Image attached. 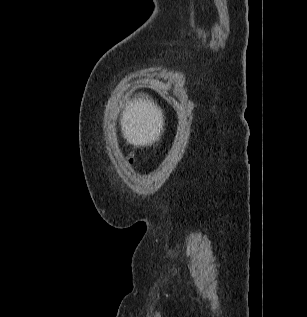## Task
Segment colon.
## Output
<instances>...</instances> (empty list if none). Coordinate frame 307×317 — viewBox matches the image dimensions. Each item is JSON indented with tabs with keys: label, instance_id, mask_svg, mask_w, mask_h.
I'll use <instances>...</instances> for the list:
<instances>
[{
	"label": "colon",
	"instance_id": "colon-1",
	"mask_svg": "<svg viewBox=\"0 0 307 317\" xmlns=\"http://www.w3.org/2000/svg\"><path fill=\"white\" fill-rule=\"evenodd\" d=\"M130 164H133V158L129 159Z\"/></svg>",
	"mask_w": 307,
	"mask_h": 317
}]
</instances>
